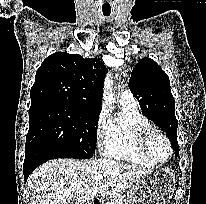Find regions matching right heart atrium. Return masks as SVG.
Returning a JSON list of instances; mask_svg holds the SVG:
<instances>
[{"label":"right heart atrium","instance_id":"1","mask_svg":"<svg viewBox=\"0 0 206 204\" xmlns=\"http://www.w3.org/2000/svg\"><path fill=\"white\" fill-rule=\"evenodd\" d=\"M108 114L105 108H102L97 115L95 121V133L97 144H101L106 136L107 125H108Z\"/></svg>","mask_w":206,"mask_h":204}]
</instances>
